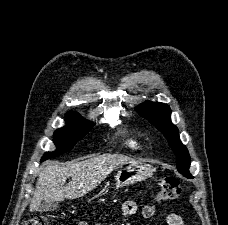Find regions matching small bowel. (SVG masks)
Listing matches in <instances>:
<instances>
[{
	"label": "small bowel",
	"instance_id": "c3829d8e",
	"mask_svg": "<svg viewBox=\"0 0 228 225\" xmlns=\"http://www.w3.org/2000/svg\"><path fill=\"white\" fill-rule=\"evenodd\" d=\"M138 211L137 204L132 200H127L123 204V213L126 216L134 215ZM156 212L155 206L146 205L142 208V216L144 218H151L154 216ZM166 225H184L183 219L180 215L175 213H169L165 217ZM78 225H88L86 222H80ZM126 225H131V223H127Z\"/></svg>",
	"mask_w": 228,
	"mask_h": 225
}]
</instances>
